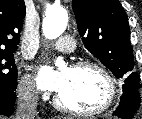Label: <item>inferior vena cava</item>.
Listing matches in <instances>:
<instances>
[{"label":"inferior vena cava","instance_id":"obj_1","mask_svg":"<svg viewBox=\"0 0 142 119\" xmlns=\"http://www.w3.org/2000/svg\"><path fill=\"white\" fill-rule=\"evenodd\" d=\"M38 91L33 85L19 89L15 119H35L37 115Z\"/></svg>","mask_w":142,"mask_h":119}]
</instances>
